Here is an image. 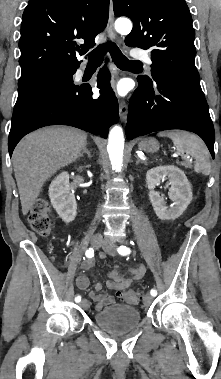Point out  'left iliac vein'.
Wrapping results in <instances>:
<instances>
[{"mask_svg":"<svg viewBox=\"0 0 221 379\" xmlns=\"http://www.w3.org/2000/svg\"><path fill=\"white\" fill-rule=\"evenodd\" d=\"M103 250L109 254V255H115L116 254V246L113 241L106 240L104 241L102 245ZM153 301V297L149 294L145 295L144 297V305L145 306H150Z\"/></svg>","mask_w":221,"mask_h":379,"instance_id":"1","label":"left iliac vein"}]
</instances>
